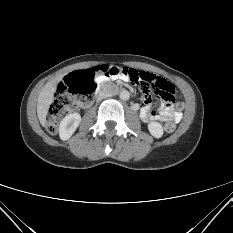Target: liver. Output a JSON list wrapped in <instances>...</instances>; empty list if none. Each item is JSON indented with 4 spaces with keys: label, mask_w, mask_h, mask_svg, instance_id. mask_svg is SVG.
<instances>
[{
    "label": "liver",
    "mask_w": 233,
    "mask_h": 233,
    "mask_svg": "<svg viewBox=\"0 0 233 233\" xmlns=\"http://www.w3.org/2000/svg\"><path fill=\"white\" fill-rule=\"evenodd\" d=\"M63 76H59L49 81L41 90L38 95L37 101V115L38 119L42 126L46 124V116L48 114V110L50 105L54 99V93L56 91V86L58 82L62 79Z\"/></svg>",
    "instance_id": "1"
}]
</instances>
